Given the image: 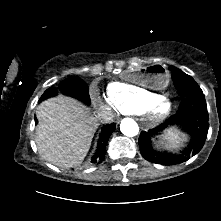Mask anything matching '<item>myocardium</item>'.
Returning a JSON list of instances; mask_svg holds the SVG:
<instances>
[{
    "instance_id": "myocardium-1",
    "label": "myocardium",
    "mask_w": 221,
    "mask_h": 221,
    "mask_svg": "<svg viewBox=\"0 0 221 221\" xmlns=\"http://www.w3.org/2000/svg\"><path fill=\"white\" fill-rule=\"evenodd\" d=\"M167 102L169 104V108L165 112H159L158 107L162 102ZM173 111V102L170 98L165 95H159L157 98L152 100L145 107L144 112L147 113L148 117L152 121H161L167 118Z\"/></svg>"
}]
</instances>
